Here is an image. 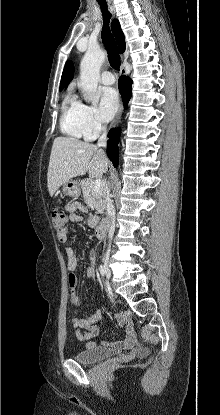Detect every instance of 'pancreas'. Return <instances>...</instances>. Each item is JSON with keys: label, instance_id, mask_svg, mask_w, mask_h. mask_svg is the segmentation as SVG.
<instances>
[{"label": "pancreas", "instance_id": "pancreas-1", "mask_svg": "<svg viewBox=\"0 0 220 415\" xmlns=\"http://www.w3.org/2000/svg\"><path fill=\"white\" fill-rule=\"evenodd\" d=\"M81 188L86 203L92 205L98 213H103L108 201V193L106 187L103 186L99 191H95L93 181L82 180Z\"/></svg>", "mask_w": 220, "mask_h": 415}]
</instances>
